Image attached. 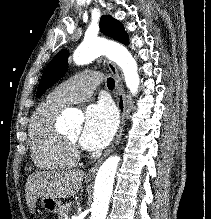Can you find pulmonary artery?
<instances>
[{
  "label": "pulmonary artery",
  "instance_id": "obj_1",
  "mask_svg": "<svg viewBox=\"0 0 211 219\" xmlns=\"http://www.w3.org/2000/svg\"><path fill=\"white\" fill-rule=\"evenodd\" d=\"M100 81L98 72H83L64 81L50 93L48 98L58 105L69 106L88 98Z\"/></svg>",
  "mask_w": 211,
  "mask_h": 219
}]
</instances>
